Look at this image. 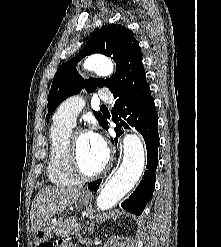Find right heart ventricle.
Here are the masks:
<instances>
[{
  "label": "right heart ventricle",
  "instance_id": "obj_1",
  "mask_svg": "<svg viewBox=\"0 0 221 247\" xmlns=\"http://www.w3.org/2000/svg\"><path fill=\"white\" fill-rule=\"evenodd\" d=\"M71 125L54 118L49 135L47 174L56 186H74L80 179L72 170L69 154Z\"/></svg>",
  "mask_w": 221,
  "mask_h": 247
}]
</instances>
